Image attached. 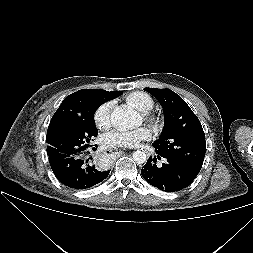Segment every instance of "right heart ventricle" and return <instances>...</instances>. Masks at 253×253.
<instances>
[{
	"mask_svg": "<svg viewBox=\"0 0 253 253\" xmlns=\"http://www.w3.org/2000/svg\"><path fill=\"white\" fill-rule=\"evenodd\" d=\"M126 101L141 112H149L154 108V99L142 91H134L126 96Z\"/></svg>",
	"mask_w": 253,
	"mask_h": 253,
	"instance_id": "e07e8e85",
	"label": "right heart ventricle"
}]
</instances>
